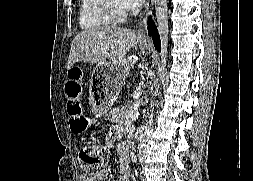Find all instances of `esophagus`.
Listing matches in <instances>:
<instances>
[{"mask_svg": "<svg viewBox=\"0 0 253 181\" xmlns=\"http://www.w3.org/2000/svg\"><path fill=\"white\" fill-rule=\"evenodd\" d=\"M153 3V0H147L145 8L138 19L137 27L135 30L137 38L148 42L150 39L146 33V20L153 11Z\"/></svg>", "mask_w": 253, "mask_h": 181, "instance_id": "1", "label": "esophagus"}]
</instances>
